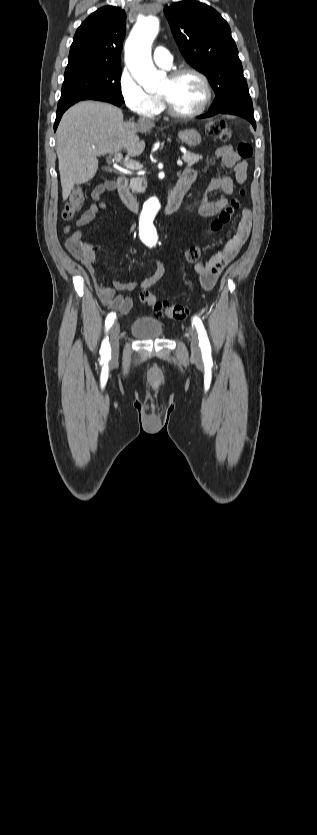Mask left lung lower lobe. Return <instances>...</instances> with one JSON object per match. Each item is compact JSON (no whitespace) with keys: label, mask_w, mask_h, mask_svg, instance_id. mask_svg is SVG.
<instances>
[{"label":"left lung lower lobe","mask_w":317,"mask_h":835,"mask_svg":"<svg viewBox=\"0 0 317 835\" xmlns=\"http://www.w3.org/2000/svg\"><path fill=\"white\" fill-rule=\"evenodd\" d=\"M218 113L233 114V115L243 117V118L247 119L253 125L254 129L256 130V122H255V119L253 117V110H249V109H246V108L241 107V106H229V107L223 108V109H213L212 108L207 114L201 115V116H199V118L211 117V116H214L215 114H218Z\"/></svg>","instance_id":"obj_1"}]
</instances>
